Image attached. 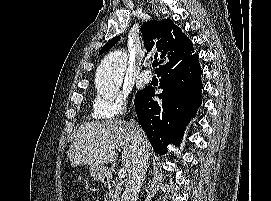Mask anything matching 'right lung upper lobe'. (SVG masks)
Instances as JSON below:
<instances>
[{"label":"right lung upper lobe","mask_w":271,"mask_h":201,"mask_svg":"<svg viewBox=\"0 0 271 201\" xmlns=\"http://www.w3.org/2000/svg\"><path fill=\"white\" fill-rule=\"evenodd\" d=\"M143 39L145 40V47L150 51L154 46L153 39H156V48L161 53L160 62H169L181 55L182 49L185 46L188 38L181 32L170 19H163L160 22L151 20L141 26ZM120 40V36H116L109 40L105 46L100 50L99 54H103ZM162 66L156 69L158 71Z\"/></svg>","instance_id":"right-lung-upper-lobe-1"}]
</instances>
